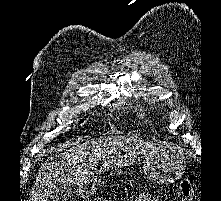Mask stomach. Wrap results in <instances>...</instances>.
<instances>
[{
	"label": "stomach",
	"instance_id": "1",
	"mask_svg": "<svg viewBox=\"0 0 221 201\" xmlns=\"http://www.w3.org/2000/svg\"><path fill=\"white\" fill-rule=\"evenodd\" d=\"M185 170V158L182 153L173 148H165L145 157L144 174L152 181L160 184L177 180ZM103 182L95 179L79 186L78 193L87 196L96 192Z\"/></svg>",
	"mask_w": 221,
	"mask_h": 201
}]
</instances>
